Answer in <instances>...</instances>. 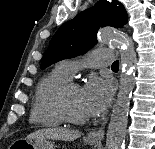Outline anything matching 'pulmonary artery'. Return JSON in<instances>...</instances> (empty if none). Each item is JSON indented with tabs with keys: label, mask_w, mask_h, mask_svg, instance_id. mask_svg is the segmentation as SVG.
<instances>
[{
	"label": "pulmonary artery",
	"mask_w": 155,
	"mask_h": 149,
	"mask_svg": "<svg viewBox=\"0 0 155 149\" xmlns=\"http://www.w3.org/2000/svg\"><path fill=\"white\" fill-rule=\"evenodd\" d=\"M113 63V52L108 48L94 49L81 58L66 59L59 63L60 69L70 78L82 67H101Z\"/></svg>",
	"instance_id": "pulmonary-artery-1"
}]
</instances>
